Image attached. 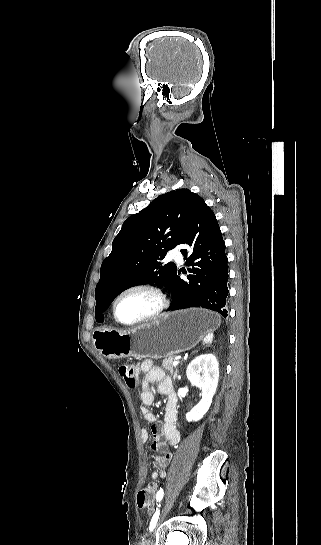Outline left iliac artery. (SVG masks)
Listing matches in <instances>:
<instances>
[{"label": "left iliac artery", "mask_w": 321, "mask_h": 545, "mask_svg": "<svg viewBox=\"0 0 321 545\" xmlns=\"http://www.w3.org/2000/svg\"><path fill=\"white\" fill-rule=\"evenodd\" d=\"M163 489H160V491L158 492L157 494V500L158 501H161L162 498H163ZM160 506V505H159ZM159 518V510L156 511V513L153 515L152 517V520L150 522V527H149V530L152 531L153 528L155 527L156 523H157V520Z\"/></svg>", "instance_id": "obj_1"}]
</instances>
